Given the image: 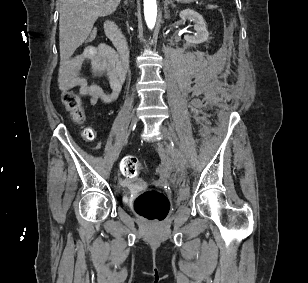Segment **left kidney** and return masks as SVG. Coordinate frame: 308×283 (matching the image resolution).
Wrapping results in <instances>:
<instances>
[{"label":"left kidney","mask_w":308,"mask_h":283,"mask_svg":"<svg viewBox=\"0 0 308 283\" xmlns=\"http://www.w3.org/2000/svg\"><path fill=\"white\" fill-rule=\"evenodd\" d=\"M182 20H190L194 22V30L196 34L194 36L185 35L184 39L187 43L200 44L207 40L208 31L203 17L194 10L186 9L179 14Z\"/></svg>","instance_id":"left-kidney-1"}]
</instances>
